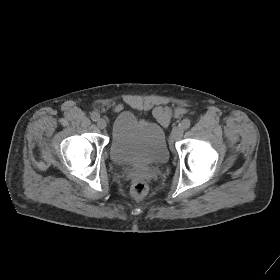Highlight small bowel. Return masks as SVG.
<instances>
[{"label":"small bowel","instance_id":"c3829d8e","mask_svg":"<svg viewBox=\"0 0 280 280\" xmlns=\"http://www.w3.org/2000/svg\"><path fill=\"white\" fill-rule=\"evenodd\" d=\"M182 108H176L174 111L169 108L158 107L155 109V116L164 124H168L174 115L183 114Z\"/></svg>","mask_w":280,"mask_h":280}]
</instances>
